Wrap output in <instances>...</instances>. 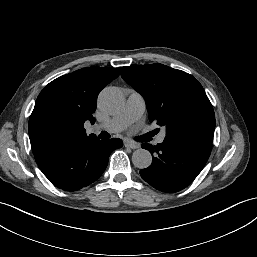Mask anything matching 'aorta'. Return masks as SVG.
Masks as SVG:
<instances>
[{
    "instance_id": "aorta-1",
    "label": "aorta",
    "mask_w": 257,
    "mask_h": 257,
    "mask_svg": "<svg viewBox=\"0 0 257 257\" xmlns=\"http://www.w3.org/2000/svg\"><path fill=\"white\" fill-rule=\"evenodd\" d=\"M98 102L104 111L113 113L122 108L124 97L119 89L108 87L100 93ZM132 162L139 169L148 168L152 163L151 153L146 149H137L132 154Z\"/></svg>"
}]
</instances>
